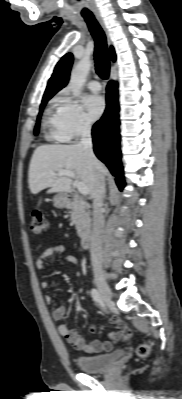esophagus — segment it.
Returning <instances> with one entry per match:
<instances>
[{
  "label": "esophagus",
  "mask_w": 182,
  "mask_h": 399,
  "mask_svg": "<svg viewBox=\"0 0 182 399\" xmlns=\"http://www.w3.org/2000/svg\"><path fill=\"white\" fill-rule=\"evenodd\" d=\"M96 18H97L98 22L100 23V25L102 26V28L104 29V31L106 32L107 38H108V43L110 44V40H109V37H108L107 30H106V28L104 26V23H103V20H102L101 16L98 13H96Z\"/></svg>",
  "instance_id": "1"
}]
</instances>
